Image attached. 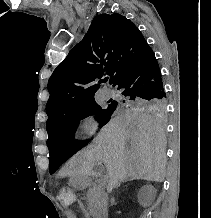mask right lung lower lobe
<instances>
[{"instance_id": "98d812e1", "label": "right lung lower lobe", "mask_w": 211, "mask_h": 218, "mask_svg": "<svg viewBox=\"0 0 211 218\" xmlns=\"http://www.w3.org/2000/svg\"><path fill=\"white\" fill-rule=\"evenodd\" d=\"M121 94L131 98H166L158 62L152 51H147L113 82Z\"/></svg>"}]
</instances>
